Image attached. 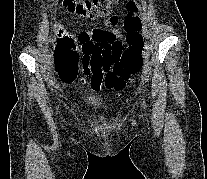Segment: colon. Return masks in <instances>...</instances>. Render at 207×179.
I'll list each match as a JSON object with an SVG mask.
<instances>
[{
    "label": "colon",
    "mask_w": 207,
    "mask_h": 179,
    "mask_svg": "<svg viewBox=\"0 0 207 179\" xmlns=\"http://www.w3.org/2000/svg\"><path fill=\"white\" fill-rule=\"evenodd\" d=\"M68 12L86 18L107 16L115 0H63ZM125 17L126 48L117 40L116 35L104 29L96 31L92 36L80 40L83 55L80 57L74 39L61 32L55 47V70L64 81L76 78L81 69L84 74L91 75L97 82L103 79L115 90L124 88L126 81L137 74L143 66L142 48L144 36L141 33L142 21L135 14L133 3L128 5Z\"/></svg>",
    "instance_id": "1"
}]
</instances>
